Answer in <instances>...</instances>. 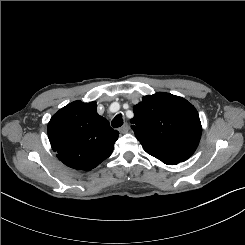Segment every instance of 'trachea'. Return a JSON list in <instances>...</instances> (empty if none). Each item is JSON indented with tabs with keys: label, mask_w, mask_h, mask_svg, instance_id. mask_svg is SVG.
<instances>
[{
	"label": "trachea",
	"mask_w": 245,
	"mask_h": 245,
	"mask_svg": "<svg viewBox=\"0 0 245 245\" xmlns=\"http://www.w3.org/2000/svg\"><path fill=\"white\" fill-rule=\"evenodd\" d=\"M112 127L114 128H118L121 127L123 125V118H122V114H118L114 117V119L112 120Z\"/></svg>",
	"instance_id": "3493384b"
}]
</instances>
